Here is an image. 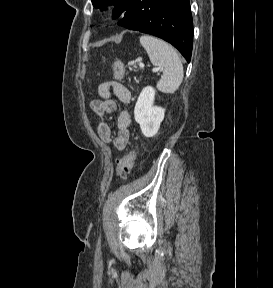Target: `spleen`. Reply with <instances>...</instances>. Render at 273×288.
Segmentation results:
<instances>
[{
  "label": "spleen",
  "mask_w": 273,
  "mask_h": 288,
  "mask_svg": "<svg viewBox=\"0 0 273 288\" xmlns=\"http://www.w3.org/2000/svg\"><path fill=\"white\" fill-rule=\"evenodd\" d=\"M140 43L146 50L153 65L163 69L157 89L163 93L173 94L183 80V65L175 49L165 41L142 35Z\"/></svg>",
  "instance_id": "3e777b00"
}]
</instances>
